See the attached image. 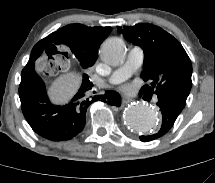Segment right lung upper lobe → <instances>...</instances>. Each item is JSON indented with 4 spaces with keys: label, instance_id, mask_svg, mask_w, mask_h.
<instances>
[{
    "label": "right lung upper lobe",
    "instance_id": "obj_1",
    "mask_svg": "<svg viewBox=\"0 0 215 183\" xmlns=\"http://www.w3.org/2000/svg\"><path fill=\"white\" fill-rule=\"evenodd\" d=\"M110 32L111 27H87L82 24H70L52 33L53 39H48L47 36L39 41L33 47L31 54L40 56L43 51L48 52L50 49L56 51V45L77 41L87 55L96 59L100 44Z\"/></svg>",
    "mask_w": 215,
    "mask_h": 183
}]
</instances>
